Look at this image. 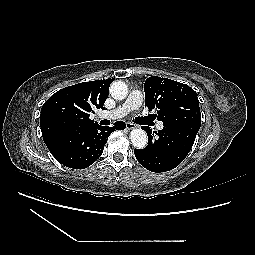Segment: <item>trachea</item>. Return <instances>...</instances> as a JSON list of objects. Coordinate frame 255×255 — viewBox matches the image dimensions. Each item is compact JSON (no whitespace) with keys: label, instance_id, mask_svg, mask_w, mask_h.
I'll return each mask as SVG.
<instances>
[{"label":"trachea","instance_id":"trachea-1","mask_svg":"<svg viewBox=\"0 0 255 255\" xmlns=\"http://www.w3.org/2000/svg\"><path fill=\"white\" fill-rule=\"evenodd\" d=\"M100 124H101V125H109V124H110V121H109V120H101V121H100Z\"/></svg>","mask_w":255,"mask_h":255}]
</instances>
